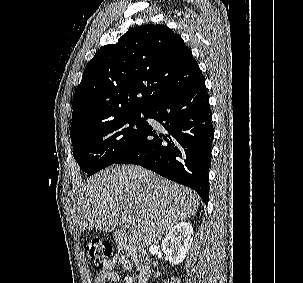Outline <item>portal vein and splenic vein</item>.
I'll use <instances>...</instances> for the list:
<instances>
[{"mask_svg":"<svg viewBox=\"0 0 303 283\" xmlns=\"http://www.w3.org/2000/svg\"><path fill=\"white\" fill-rule=\"evenodd\" d=\"M122 221L127 225V224H130L132 222V218L130 216L123 215L122 216Z\"/></svg>","mask_w":303,"mask_h":283,"instance_id":"18ae733b","label":"portal vein and splenic vein"}]
</instances>
